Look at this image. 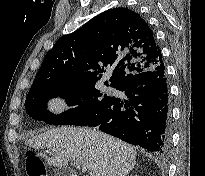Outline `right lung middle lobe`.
Here are the masks:
<instances>
[{"instance_id": "1", "label": "right lung middle lobe", "mask_w": 205, "mask_h": 176, "mask_svg": "<svg viewBox=\"0 0 205 176\" xmlns=\"http://www.w3.org/2000/svg\"><path fill=\"white\" fill-rule=\"evenodd\" d=\"M58 95L68 99L69 105L76 107L59 116L48 111L47 101ZM112 99L113 97L100 93L95 85H54L28 93L25 109L33 119L43 120L48 124L86 126Z\"/></svg>"}]
</instances>
